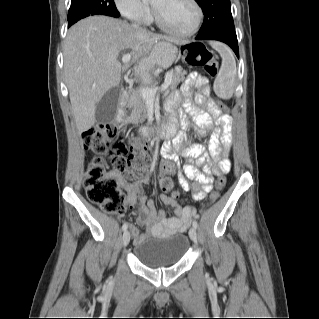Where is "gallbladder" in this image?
Here are the masks:
<instances>
[{"mask_svg": "<svg viewBox=\"0 0 319 319\" xmlns=\"http://www.w3.org/2000/svg\"><path fill=\"white\" fill-rule=\"evenodd\" d=\"M121 91V87L111 88L96 104L95 122L97 124L110 123L115 119Z\"/></svg>", "mask_w": 319, "mask_h": 319, "instance_id": "1", "label": "gallbladder"}]
</instances>
